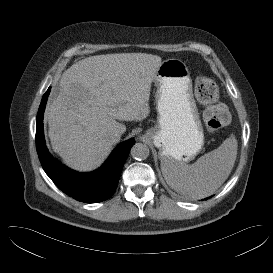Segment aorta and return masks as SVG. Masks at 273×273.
Masks as SVG:
<instances>
[{"label":"aorta","instance_id":"obj_1","mask_svg":"<svg viewBox=\"0 0 273 273\" xmlns=\"http://www.w3.org/2000/svg\"><path fill=\"white\" fill-rule=\"evenodd\" d=\"M131 156L137 160H145L149 156V147L144 143H136L131 148Z\"/></svg>","mask_w":273,"mask_h":273}]
</instances>
